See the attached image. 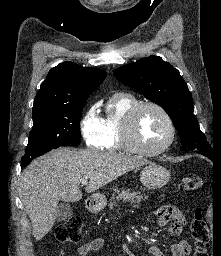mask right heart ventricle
Returning a JSON list of instances; mask_svg holds the SVG:
<instances>
[{"mask_svg":"<svg viewBox=\"0 0 221 256\" xmlns=\"http://www.w3.org/2000/svg\"><path fill=\"white\" fill-rule=\"evenodd\" d=\"M139 103L131 93L120 92L112 95L105 109L103 119L104 137L102 148L110 152L131 151L124 143L122 129L128 111Z\"/></svg>","mask_w":221,"mask_h":256,"instance_id":"right-heart-ventricle-1","label":"right heart ventricle"}]
</instances>
